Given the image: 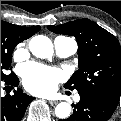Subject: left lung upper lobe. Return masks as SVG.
<instances>
[{
    "instance_id": "5c2ea615",
    "label": "left lung upper lobe",
    "mask_w": 121,
    "mask_h": 121,
    "mask_svg": "<svg viewBox=\"0 0 121 121\" xmlns=\"http://www.w3.org/2000/svg\"><path fill=\"white\" fill-rule=\"evenodd\" d=\"M54 33L74 36L78 43L79 69L65 88L97 94L118 105L121 95V47L118 40L89 19L48 26Z\"/></svg>"
}]
</instances>
